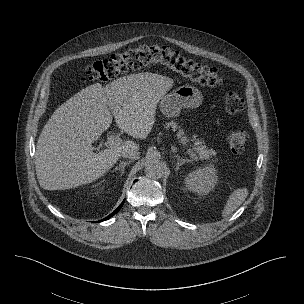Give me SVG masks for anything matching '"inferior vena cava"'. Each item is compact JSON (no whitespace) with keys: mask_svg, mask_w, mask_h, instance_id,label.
I'll list each match as a JSON object with an SVG mask.
<instances>
[{"mask_svg":"<svg viewBox=\"0 0 304 304\" xmlns=\"http://www.w3.org/2000/svg\"><path fill=\"white\" fill-rule=\"evenodd\" d=\"M121 156L124 158L136 160V159H139L140 152L137 149H129V150L123 151L121 153Z\"/></svg>","mask_w":304,"mask_h":304,"instance_id":"inferior-vena-cava-1","label":"inferior vena cava"}]
</instances>
